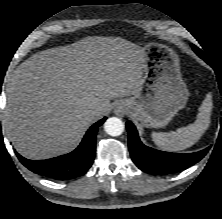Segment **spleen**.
Returning a JSON list of instances; mask_svg holds the SVG:
<instances>
[{
    "label": "spleen",
    "instance_id": "obj_1",
    "mask_svg": "<svg viewBox=\"0 0 222 219\" xmlns=\"http://www.w3.org/2000/svg\"><path fill=\"white\" fill-rule=\"evenodd\" d=\"M212 107V95L208 93L199 108V113L194 123L168 133L153 132L152 139L154 143L161 149L171 152L191 147L208 129L210 125Z\"/></svg>",
    "mask_w": 222,
    "mask_h": 219
}]
</instances>
